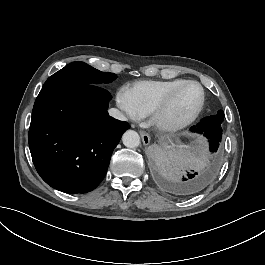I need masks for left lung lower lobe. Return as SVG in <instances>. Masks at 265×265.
Wrapping results in <instances>:
<instances>
[{"instance_id":"0a47b994","label":"left lung lower lobe","mask_w":265,"mask_h":265,"mask_svg":"<svg viewBox=\"0 0 265 265\" xmlns=\"http://www.w3.org/2000/svg\"><path fill=\"white\" fill-rule=\"evenodd\" d=\"M224 113L219 111L217 115L205 117L191 130L203 134L209 142V149L201 156V172L187 174L181 179L173 176V172L179 163L178 158L170 155H162L156 162L155 177L158 183L167 191L178 196H190L202 190L212 179L219 164V145L222 139Z\"/></svg>"}]
</instances>
